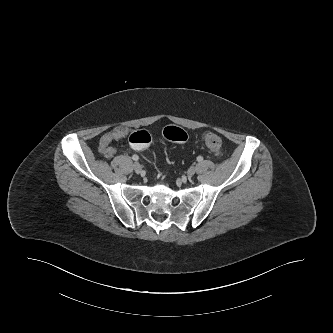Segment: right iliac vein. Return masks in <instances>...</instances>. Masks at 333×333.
Wrapping results in <instances>:
<instances>
[{
    "mask_svg": "<svg viewBox=\"0 0 333 333\" xmlns=\"http://www.w3.org/2000/svg\"><path fill=\"white\" fill-rule=\"evenodd\" d=\"M133 168H134V170H135L136 173H140L141 170H142V167H141V165L138 162H135L133 164Z\"/></svg>",
    "mask_w": 333,
    "mask_h": 333,
    "instance_id": "63e3f726",
    "label": "right iliac vein"
}]
</instances>
